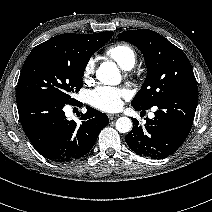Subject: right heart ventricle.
<instances>
[{
  "label": "right heart ventricle",
  "mask_w": 212,
  "mask_h": 212,
  "mask_svg": "<svg viewBox=\"0 0 212 212\" xmlns=\"http://www.w3.org/2000/svg\"><path fill=\"white\" fill-rule=\"evenodd\" d=\"M105 56L115 61L124 70H130L136 63L135 50L123 43L108 47L105 51Z\"/></svg>",
  "instance_id": "e07e8e85"
}]
</instances>
